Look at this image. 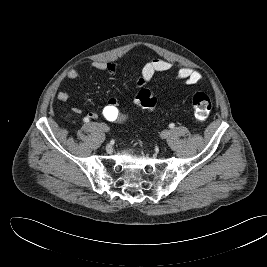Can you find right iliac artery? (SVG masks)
I'll return each instance as SVG.
<instances>
[{"label": "right iliac artery", "instance_id": "82829eb1", "mask_svg": "<svg viewBox=\"0 0 267 267\" xmlns=\"http://www.w3.org/2000/svg\"><path fill=\"white\" fill-rule=\"evenodd\" d=\"M85 122H89V119L87 117L84 118Z\"/></svg>", "mask_w": 267, "mask_h": 267}]
</instances>
